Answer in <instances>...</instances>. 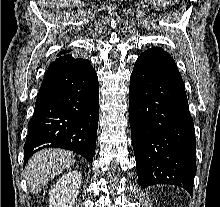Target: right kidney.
Instances as JSON below:
<instances>
[{
  "label": "right kidney",
  "mask_w": 220,
  "mask_h": 207,
  "mask_svg": "<svg viewBox=\"0 0 220 207\" xmlns=\"http://www.w3.org/2000/svg\"><path fill=\"white\" fill-rule=\"evenodd\" d=\"M82 183L80 172L62 175L49 192V207H73Z\"/></svg>",
  "instance_id": "ca27d5eb"
}]
</instances>
